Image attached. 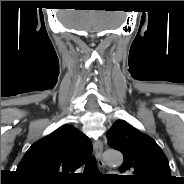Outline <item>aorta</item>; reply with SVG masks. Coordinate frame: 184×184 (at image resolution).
Returning a JSON list of instances; mask_svg holds the SVG:
<instances>
[{
	"instance_id": "aorta-1",
	"label": "aorta",
	"mask_w": 184,
	"mask_h": 184,
	"mask_svg": "<svg viewBox=\"0 0 184 184\" xmlns=\"http://www.w3.org/2000/svg\"><path fill=\"white\" fill-rule=\"evenodd\" d=\"M104 160L108 165H121L123 162V156L119 151L107 150L104 153Z\"/></svg>"
}]
</instances>
